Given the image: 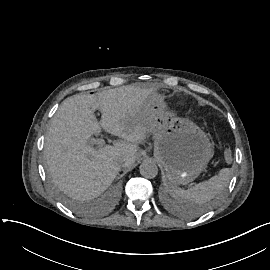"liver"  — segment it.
<instances>
[{"instance_id":"obj_1","label":"liver","mask_w":270,"mask_h":270,"mask_svg":"<svg viewBox=\"0 0 270 270\" xmlns=\"http://www.w3.org/2000/svg\"><path fill=\"white\" fill-rule=\"evenodd\" d=\"M154 88L126 85L65 99L45 137L44 156L53 183L78 200L98 197L121 167L135 162L137 144L147 135L145 126L156 97ZM99 108L105 130L124 141L95 150L89 139L100 133L94 111Z\"/></svg>"}]
</instances>
